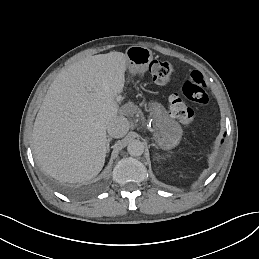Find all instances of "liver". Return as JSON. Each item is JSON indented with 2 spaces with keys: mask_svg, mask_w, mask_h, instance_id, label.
Masks as SVG:
<instances>
[{
  "mask_svg": "<svg viewBox=\"0 0 259 259\" xmlns=\"http://www.w3.org/2000/svg\"><path fill=\"white\" fill-rule=\"evenodd\" d=\"M126 61L121 52L86 57L51 83L34 122L32 148L53 178L77 183L102 170L106 129L121 112L115 97L124 87Z\"/></svg>",
  "mask_w": 259,
  "mask_h": 259,
  "instance_id": "1",
  "label": "liver"
}]
</instances>
